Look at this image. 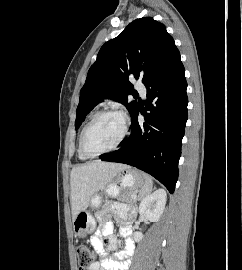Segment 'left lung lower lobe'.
I'll list each match as a JSON object with an SVG mask.
<instances>
[{
    "mask_svg": "<svg viewBox=\"0 0 242 270\" xmlns=\"http://www.w3.org/2000/svg\"><path fill=\"white\" fill-rule=\"evenodd\" d=\"M145 122L136 110L131 135L123 146L102 154L103 161L119 162L143 170L159 180L170 193L178 178V161L187 121V82L180 56L165 65L146 84ZM144 110V109H143Z\"/></svg>",
    "mask_w": 242,
    "mask_h": 270,
    "instance_id": "0a47b994",
    "label": "left lung lower lobe"
}]
</instances>
